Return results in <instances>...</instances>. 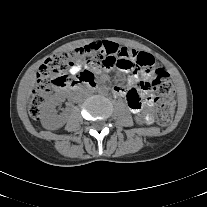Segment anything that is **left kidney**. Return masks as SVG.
<instances>
[{
    "label": "left kidney",
    "mask_w": 207,
    "mask_h": 207,
    "mask_svg": "<svg viewBox=\"0 0 207 207\" xmlns=\"http://www.w3.org/2000/svg\"><path fill=\"white\" fill-rule=\"evenodd\" d=\"M135 120L138 124H143V120L141 118L136 117Z\"/></svg>",
    "instance_id": "1"
}]
</instances>
